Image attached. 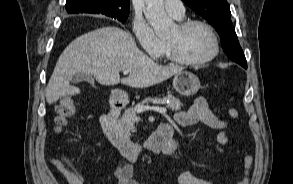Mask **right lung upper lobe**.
<instances>
[{
	"mask_svg": "<svg viewBox=\"0 0 293 184\" xmlns=\"http://www.w3.org/2000/svg\"><path fill=\"white\" fill-rule=\"evenodd\" d=\"M66 10L70 14H125L129 13V0H67Z\"/></svg>",
	"mask_w": 293,
	"mask_h": 184,
	"instance_id": "cb5924a9",
	"label": "right lung upper lobe"
}]
</instances>
